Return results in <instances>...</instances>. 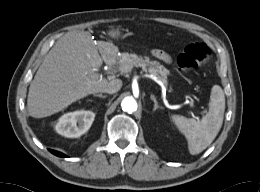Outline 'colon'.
<instances>
[{
	"instance_id": "obj_1",
	"label": "colon",
	"mask_w": 260,
	"mask_h": 192,
	"mask_svg": "<svg viewBox=\"0 0 260 192\" xmlns=\"http://www.w3.org/2000/svg\"><path fill=\"white\" fill-rule=\"evenodd\" d=\"M210 57V49L203 42L188 45L178 56L177 64L182 71L195 70L205 64Z\"/></svg>"
}]
</instances>
